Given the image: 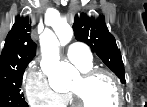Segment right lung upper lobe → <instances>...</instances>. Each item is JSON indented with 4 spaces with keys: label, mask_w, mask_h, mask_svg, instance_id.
I'll return each instance as SVG.
<instances>
[{
    "label": "right lung upper lobe",
    "mask_w": 147,
    "mask_h": 107,
    "mask_svg": "<svg viewBox=\"0 0 147 107\" xmlns=\"http://www.w3.org/2000/svg\"><path fill=\"white\" fill-rule=\"evenodd\" d=\"M28 19L18 17L9 31L0 56V75L27 67L36 55V43L30 37Z\"/></svg>",
    "instance_id": "cb5924a9"
}]
</instances>
